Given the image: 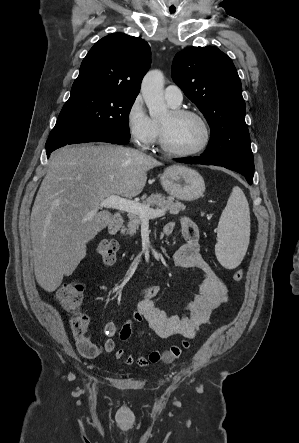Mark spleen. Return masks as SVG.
Masks as SVG:
<instances>
[{"instance_id": "spleen-1", "label": "spleen", "mask_w": 299, "mask_h": 443, "mask_svg": "<svg viewBox=\"0 0 299 443\" xmlns=\"http://www.w3.org/2000/svg\"><path fill=\"white\" fill-rule=\"evenodd\" d=\"M249 238V205L243 191L235 186L217 228L215 254L219 263L226 269L236 268L246 254Z\"/></svg>"}]
</instances>
